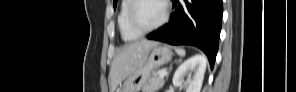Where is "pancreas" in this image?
Here are the masks:
<instances>
[{
    "label": "pancreas",
    "instance_id": "pancreas-1",
    "mask_svg": "<svg viewBox=\"0 0 296 92\" xmlns=\"http://www.w3.org/2000/svg\"><path fill=\"white\" fill-rule=\"evenodd\" d=\"M164 86V79L157 76L150 78L146 85L142 88V92H156Z\"/></svg>",
    "mask_w": 296,
    "mask_h": 92
}]
</instances>
